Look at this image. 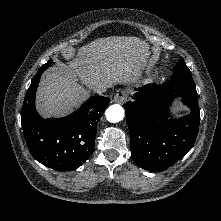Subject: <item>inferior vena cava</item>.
Instances as JSON below:
<instances>
[{
    "label": "inferior vena cava",
    "instance_id": "obj_1",
    "mask_svg": "<svg viewBox=\"0 0 221 221\" xmlns=\"http://www.w3.org/2000/svg\"><path fill=\"white\" fill-rule=\"evenodd\" d=\"M106 89L98 88L95 90V92L99 95H101Z\"/></svg>",
    "mask_w": 221,
    "mask_h": 221
}]
</instances>
